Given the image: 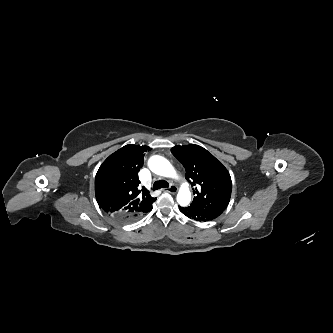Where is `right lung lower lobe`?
Here are the masks:
<instances>
[{
	"instance_id": "obj_1",
	"label": "right lung lower lobe",
	"mask_w": 333,
	"mask_h": 333,
	"mask_svg": "<svg viewBox=\"0 0 333 333\" xmlns=\"http://www.w3.org/2000/svg\"><path fill=\"white\" fill-rule=\"evenodd\" d=\"M151 209H152V207L149 208L148 210H146L145 212H143V213L140 214V215H137V214H133V215H123V216H116V218L119 219V220H122V221H124V220H129V219H130V220H133V219H136L137 217L143 215L144 213L151 211ZM114 217H115V216H114Z\"/></svg>"
}]
</instances>
